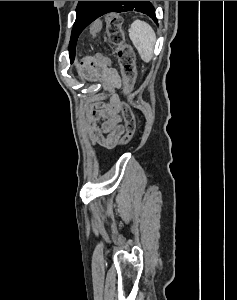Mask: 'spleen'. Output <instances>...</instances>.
Returning a JSON list of instances; mask_svg holds the SVG:
<instances>
[{"label":"spleen","instance_id":"spleen-1","mask_svg":"<svg viewBox=\"0 0 237 300\" xmlns=\"http://www.w3.org/2000/svg\"><path fill=\"white\" fill-rule=\"evenodd\" d=\"M128 33L142 61L149 63L153 57V49L156 43V35L152 27L144 21H134L128 29Z\"/></svg>","mask_w":237,"mask_h":300}]
</instances>
